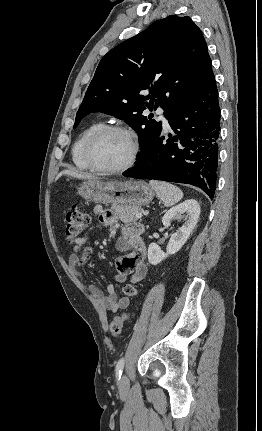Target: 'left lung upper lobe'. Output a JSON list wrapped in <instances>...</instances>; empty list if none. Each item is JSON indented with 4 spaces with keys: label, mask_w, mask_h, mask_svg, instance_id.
<instances>
[{
    "label": "left lung upper lobe",
    "mask_w": 262,
    "mask_h": 431,
    "mask_svg": "<svg viewBox=\"0 0 262 431\" xmlns=\"http://www.w3.org/2000/svg\"><path fill=\"white\" fill-rule=\"evenodd\" d=\"M213 79L201 30L190 17L169 16L101 59L74 127L91 112L111 114L136 130L143 152L161 132L162 125L142 112L161 106L168 119ZM145 90L151 94L144 95Z\"/></svg>",
    "instance_id": "obj_1"
}]
</instances>
